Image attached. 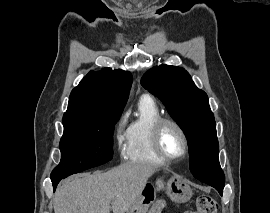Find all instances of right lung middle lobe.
<instances>
[{
	"label": "right lung middle lobe",
	"mask_w": 270,
	"mask_h": 213,
	"mask_svg": "<svg viewBox=\"0 0 270 213\" xmlns=\"http://www.w3.org/2000/svg\"><path fill=\"white\" fill-rule=\"evenodd\" d=\"M121 113L107 117L63 118L61 161L51 179L69 176L112 159L114 124Z\"/></svg>",
	"instance_id": "right-lung-middle-lobe-1"
}]
</instances>
